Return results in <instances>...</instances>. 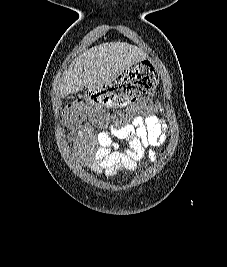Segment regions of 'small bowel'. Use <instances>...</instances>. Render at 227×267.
<instances>
[{"label":"small bowel","instance_id":"small-bowel-1","mask_svg":"<svg viewBox=\"0 0 227 267\" xmlns=\"http://www.w3.org/2000/svg\"><path fill=\"white\" fill-rule=\"evenodd\" d=\"M167 129L156 115L137 116L129 124L111 125L96 134L84 124L71 139L73 155L97 175L113 178L119 170H136L144 158L155 163L157 154L151 148L165 143ZM114 139L122 140L125 148L121 150Z\"/></svg>","mask_w":227,"mask_h":267}]
</instances>
